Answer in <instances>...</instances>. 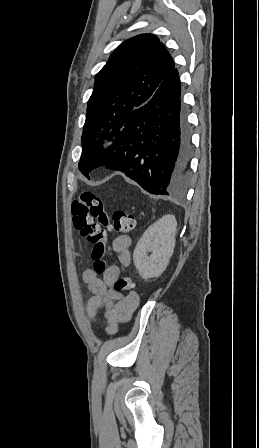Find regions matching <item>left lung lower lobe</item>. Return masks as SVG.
<instances>
[{"label": "left lung lower lobe", "mask_w": 259, "mask_h": 448, "mask_svg": "<svg viewBox=\"0 0 259 448\" xmlns=\"http://www.w3.org/2000/svg\"><path fill=\"white\" fill-rule=\"evenodd\" d=\"M102 155L92 162L91 170L105 165L122 171L151 194L170 195L185 185L191 131L176 68L146 104L132 110ZM82 174L89 178L88 173Z\"/></svg>", "instance_id": "1"}]
</instances>
